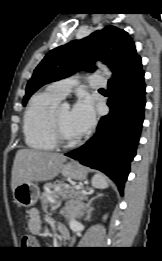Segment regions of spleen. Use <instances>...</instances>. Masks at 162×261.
I'll return each mask as SVG.
<instances>
[{"mask_svg":"<svg viewBox=\"0 0 162 261\" xmlns=\"http://www.w3.org/2000/svg\"><path fill=\"white\" fill-rule=\"evenodd\" d=\"M92 185L98 189H105L108 187V180L105 175L97 173L92 178Z\"/></svg>","mask_w":162,"mask_h":261,"instance_id":"obj_1","label":"spleen"}]
</instances>
